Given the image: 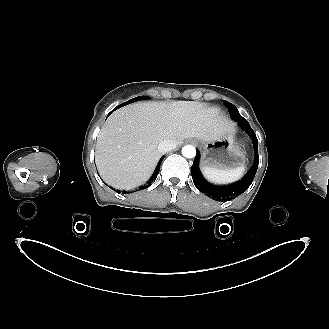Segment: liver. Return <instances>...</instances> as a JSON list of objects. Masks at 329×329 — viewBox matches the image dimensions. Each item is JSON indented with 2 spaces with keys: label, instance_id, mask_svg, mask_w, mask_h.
I'll return each instance as SVG.
<instances>
[{
  "label": "liver",
  "instance_id": "6515ba94",
  "mask_svg": "<svg viewBox=\"0 0 329 329\" xmlns=\"http://www.w3.org/2000/svg\"><path fill=\"white\" fill-rule=\"evenodd\" d=\"M234 131L217 108L196 101L143 102L113 112L97 137L96 165L102 179L116 189L142 185L153 174L165 139L205 142Z\"/></svg>",
  "mask_w": 329,
  "mask_h": 329
}]
</instances>
